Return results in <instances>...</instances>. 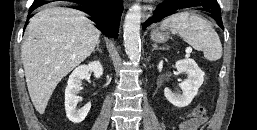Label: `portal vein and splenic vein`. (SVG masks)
Segmentation results:
<instances>
[{
    "instance_id": "obj_1",
    "label": "portal vein and splenic vein",
    "mask_w": 257,
    "mask_h": 130,
    "mask_svg": "<svg viewBox=\"0 0 257 130\" xmlns=\"http://www.w3.org/2000/svg\"><path fill=\"white\" fill-rule=\"evenodd\" d=\"M191 52H192V49H191V48H187V49H186V53H187V54H190Z\"/></svg>"
}]
</instances>
